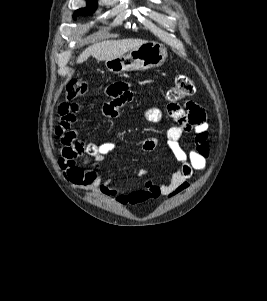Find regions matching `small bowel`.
<instances>
[{
  "label": "small bowel",
  "instance_id": "1",
  "mask_svg": "<svg viewBox=\"0 0 267 301\" xmlns=\"http://www.w3.org/2000/svg\"><path fill=\"white\" fill-rule=\"evenodd\" d=\"M105 95L109 98L102 107V114L106 118L117 117L120 108L133 99L131 86L126 82L109 85L105 89ZM79 110L80 104L73 100L61 102L58 106L60 120L55 130L62 144L59 165L75 188L113 197L120 204L135 205L154 200L159 196L171 198L178 195L189 188V180L195 171H204L206 168L209 155L207 142L209 126L204 110L196 103L188 102L184 107L176 103L167 105V114L175 121V124L167 130V145L178 166L170 180L160 184L146 180L141 185H114L104 180L98 169L116 144L113 141L86 143L78 140L73 125ZM162 117V112L157 108L145 111V118L150 122H160ZM187 133L194 134V146L188 150L180 144V139ZM157 145L158 139L149 137L142 142V150L152 152ZM87 164H91V168L86 169ZM144 175L145 172H140L137 176L141 178Z\"/></svg>",
  "mask_w": 267,
  "mask_h": 301
}]
</instances>
